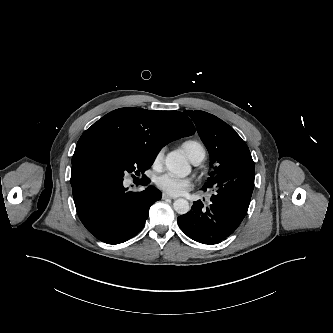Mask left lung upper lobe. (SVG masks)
Instances as JSON below:
<instances>
[{
  "label": "left lung upper lobe",
  "mask_w": 333,
  "mask_h": 333,
  "mask_svg": "<svg viewBox=\"0 0 333 333\" xmlns=\"http://www.w3.org/2000/svg\"><path fill=\"white\" fill-rule=\"evenodd\" d=\"M194 121L197 132L211 157V173L204 188L213 187L216 176L230 163L251 155L241 137L224 121L204 111H185ZM236 171V170H234ZM234 175L232 179H235Z\"/></svg>",
  "instance_id": "5c2ea615"
}]
</instances>
